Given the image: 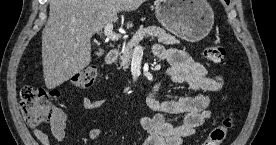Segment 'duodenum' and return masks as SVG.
Instances as JSON below:
<instances>
[{
	"instance_id": "duodenum-1",
	"label": "duodenum",
	"mask_w": 276,
	"mask_h": 145,
	"mask_svg": "<svg viewBox=\"0 0 276 145\" xmlns=\"http://www.w3.org/2000/svg\"><path fill=\"white\" fill-rule=\"evenodd\" d=\"M118 50L117 49H110L109 51H107L106 55H105V62L106 63H112L114 61L117 60L118 58Z\"/></svg>"
}]
</instances>
